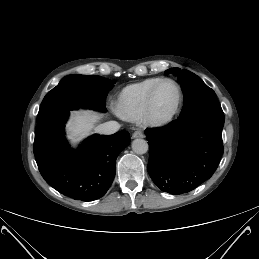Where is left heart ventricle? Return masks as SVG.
I'll list each match as a JSON object with an SVG mask.
<instances>
[{
    "instance_id": "b2bd125f",
    "label": "left heart ventricle",
    "mask_w": 259,
    "mask_h": 259,
    "mask_svg": "<svg viewBox=\"0 0 259 259\" xmlns=\"http://www.w3.org/2000/svg\"><path fill=\"white\" fill-rule=\"evenodd\" d=\"M177 91L173 84L165 82L158 88L155 96V110L158 114L166 115L175 107Z\"/></svg>"
}]
</instances>
